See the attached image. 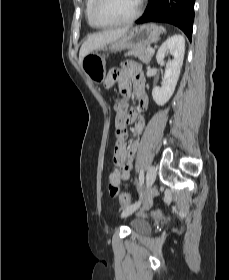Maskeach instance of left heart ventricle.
<instances>
[{
  "label": "left heart ventricle",
  "instance_id": "obj_1",
  "mask_svg": "<svg viewBox=\"0 0 229 280\" xmlns=\"http://www.w3.org/2000/svg\"><path fill=\"white\" fill-rule=\"evenodd\" d=\"M139 0H103L99 19L105 22L123 20L130 17L137 9Z\"/></svg>",
  "mask_w": 229,
  "mask_h": 280
}]
</instances>
